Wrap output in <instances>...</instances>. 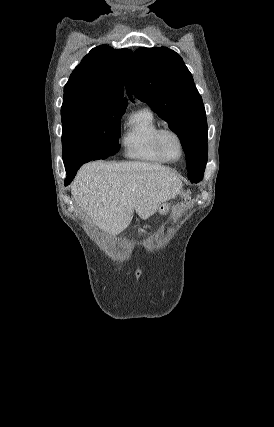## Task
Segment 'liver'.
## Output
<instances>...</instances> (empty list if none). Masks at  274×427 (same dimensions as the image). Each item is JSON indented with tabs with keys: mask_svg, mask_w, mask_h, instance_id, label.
I'll return each mask as SVG.
<instances>
[{
	"mask_svg": "<svg viewBox=\"0 0 274 427\" xmlns=\"http://www.w3.org/2000/svg\"><path fill=\"white\" fill-rule=\"evenodd\" d=\"M182 180L169 168L146 162H90L77 172L71 194L100 229L118 235L135 210L142 219L181 194Z\"/></svg>",
	"mask_w": 274,
	"mask_h": 427,
	"instance_id": "obj_1",
	"label": "liver"
}]
</instances>
